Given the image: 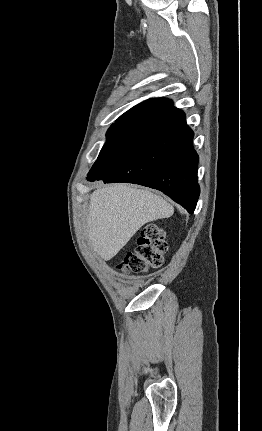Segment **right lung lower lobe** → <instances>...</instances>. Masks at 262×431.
Returning a JSON list of instances; mask_svg holds the SVG:
<instances>
[{
    "mask_svg": "<svg viewBox=\"0 0 262 431\" xmlns=\"http://www.w3.org/2000/svg\"><path fill=\"white\" fill-rule=\"evenodd\" d=\"M185 114L172 107L130 126L94 163L87 180L158 189L193 213L199 157Z\"/></svg>",
    "mask_w": 262,
    "mask_h": 431,
    "instance_id": "right-lung-lower-lobe-1",
    "label": "right lung lower lobe"
}]
</instances>
